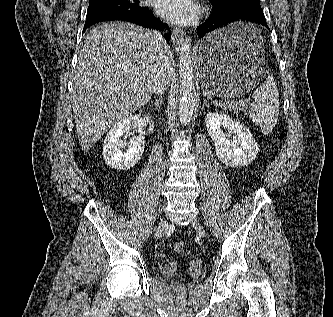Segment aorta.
<instances>
[{
	"label": "aorta",
	"instance_id": "1",
	"mask_svg": "<svg viewBox=\"0 0 333 317\" xmlns=\"http://www.w3.org/2000/svg\"><path fill=\"white\" fill-rule=\"evenodd\" d=\"M179 78V121L182 125H187L192 120L197 101V92L194 83V71L191 62V43L189 38H186L181 45L179 55Z\"/></svg>",
	"mask_w": 333,
	"mask_h": 317
}]
</instances>
